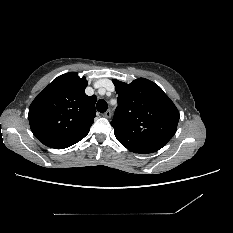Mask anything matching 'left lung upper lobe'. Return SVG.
<instances>
[{"label": "left lung upper lobe", "instance_id": "5c2ea615", "mask_svg": "<svg viewBox=\"0 0 233 233\" xmlns=\"http://www.w3.org/2000/svg\"><path fill=\"white\" fill-rule=\"evenodd\" d=\"M113 83L118 107L111 125L117 140L134 153H152L165 146L176 133L180 117L170 98L145 78Z\"/></svg>", "mask_w": 233, "mask_h": 233}]
</instances>
